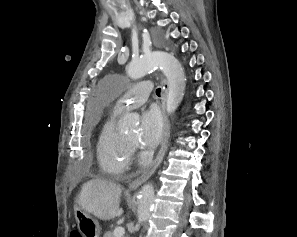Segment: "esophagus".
<instances>
[{
    "instance_id": "esophagus-1",
    "label": "esophagus",
    "mask_w": 297,
    "mask_h": 237,
    "mask_svg": "<svg viewBox=\"0 0 297 237\" xmlns=\"http://www.w3.org/2000/svg\"><path fill=\"white\" fill-rule=\"evenodd\" d=\"M165 96H166V91L164 90L162 93V104H161L163 119H164V129H163V140H162L160 150L150 169L146 170L139 178L129 183L128 185L129 190L137 189L142 183H144L149 177L153 175L155 170L161 164L162 159L168 149L171 130H170V122L166 115Z\"/></svg>"
}]
</instances>
